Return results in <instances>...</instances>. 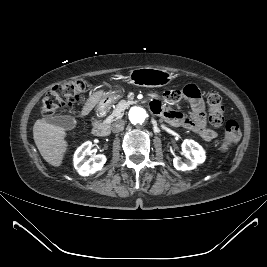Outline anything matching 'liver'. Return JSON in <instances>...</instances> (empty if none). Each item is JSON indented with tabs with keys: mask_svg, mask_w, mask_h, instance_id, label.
<instances>
[{
	"mask_svg": "<svg viewBox=\"0 0 267 267\" xmlns=\"http://www.w3.org/2000/svg\"><path fill=\"white\" fill-rule=\"evenodd\" d=\"M103 91L99 90L89 96L85 103L82 114L87 115L97 104ZM65 129L45 120H37L33 126V138L35 144L46 162L58 167L62 164L64 154L67 150L68 143L65 140Z\"/></svg>",
	"mask_w": 267,
	"mask_h": 267,
	"instance_id": "liver-1",
	"label": "liver"
}]
</instances>
